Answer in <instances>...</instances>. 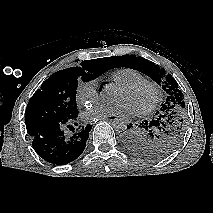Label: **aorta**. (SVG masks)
I'll return each instance as SVG.
<instances>
[{"instance_id":"aorta-1","label":"aorta","mask_w":213,"mask_h":213,"mask_svg":"<svg viewBox=\"0 0 213 213\" xmlns=\"http://www.w3.org/2000/svg\"><path fill=\"white\" fill-rule=\"evenodd\" d=\"M101 99L105 102L113 101L115 98V91L113 86L107 85L100 93ZM112 126L116 132H122L127 129V121L123 118H116L112 122Z\"/></svg>"}]
</instances>
